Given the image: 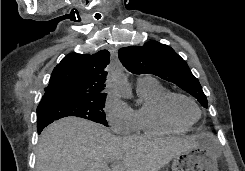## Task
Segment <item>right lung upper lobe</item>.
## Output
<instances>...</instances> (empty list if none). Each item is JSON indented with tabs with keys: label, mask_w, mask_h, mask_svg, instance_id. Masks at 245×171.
<instances>
[{
	"label": "right lung upper lobe",
	"mask_w": 245,
	"mask_h": 171,
	"mask_svg": "<svg viewBox=\"0 0 245 171\" xmlns=\"http://www.w3.org/2000/svg\"><path fill=\"white\" fill-rule=\"evenodd\" d=\"M109 57L107 50L92 55H66L54 68L40 103L51 99L90 98L106 94L105 68Z\"/></svg>",
	"instance_id": "1"
}]
</instances>
